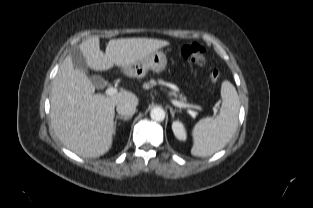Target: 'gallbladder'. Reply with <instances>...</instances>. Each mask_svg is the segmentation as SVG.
<instances>
[{
  "mask_svg": "<svg viewBox=\"0 0 313 208\" xmlns=\"http://www.w3.org/2000/svg\"><path fill=\"white\" fill-rule=\"evenodd\" d=\"M70 56L72 58V61L74 65L82 72H87V61L84 57L82 51L79 47H74L70 51ZM91 80L96 88H101L106 84V81L103 79V77L99 75H95L91 77Z\"/></svg>",
  "mask_w": 313,
  "mask_h": 208,
  "instance_id": "1",
  "label": "gallbladder"
}]
</instances>
